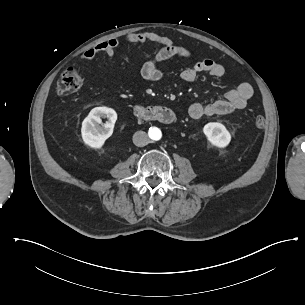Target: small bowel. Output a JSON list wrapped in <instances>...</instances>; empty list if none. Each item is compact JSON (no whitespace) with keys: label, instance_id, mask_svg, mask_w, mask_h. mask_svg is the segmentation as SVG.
Returning <instances> with one entry per match:
<instances>
[{"label":"small bowel","instance_id":"1","mask_svg":"<svg viewBox=\"0 0 305 305\" xmlns=\"http://www.w3.org/2000/svg\"><path fill=\"white\" fill-rule=\"evenodd\" d=\"M130 35V43L143 44L151 42L161 46L155 56L144 63L141 68V75L147 81L158 82L163 78V72L159 68V64L163 61L174 56L183 58L191 56V52L187 48L175 45L170 38L156 32L142 31L130 33ZM119 45V40L110 38L107 41L96 43L91 49L85 50L83 56L85 59L90 60L93 56L117 48ZM203 72L208 73L214 78H221L225 75L226 69L222 64L213 59L205 58L186 68L182 72L181 77L185 82L192 83ZM252 95V86L248 82H241L235 88L228 90L224 94V99L209 103L196 102L191 104L188 113L190 117L198 119L203 116L225 114L234 110H240L246 106Z\"/></svg>","mask_w":305,"mask_h":305}]
</instances>
